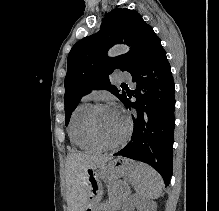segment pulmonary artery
<instances>
[{
  "label": "pulmonary artery",
  "mask_w": 219,
  "mask_h": 211,
  "mask_svg": "<svg viewBox=\"0 0 219 211\" xmlns=\"http://www.w3.org/2000/svg\"><path fill=\"white\" fill-rule=\"evenodd\" d=\"M119 80H130V75H119ZM95 94V91L90 92L84 96V100H90Z\"/></svg>",
  "instance_id": "1"
}]
</instances>
